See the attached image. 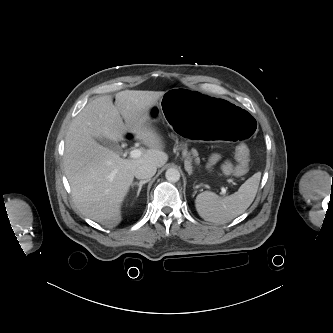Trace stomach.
I'll return each mask as SVG.
<instances>
[{
	"mask_svg": "<svg viewBox=\"0 0 333 333\" xmlns=\"http://www.w3.org/2000/svg\"><path fill=\"white\" fill-rule=\"evenodd\" d=\"M145 117L154 124L168 121L172 129L190 140L240 144L256 129L253 113L229 104L216 94L190 87L167 90L159 103L144 105Z\"/></svg>",
	"mask_w": 333,
	"mask_h": 333,
	"instance_id": "0dacf381",
	"label": "stomach"
}]
</instances>
